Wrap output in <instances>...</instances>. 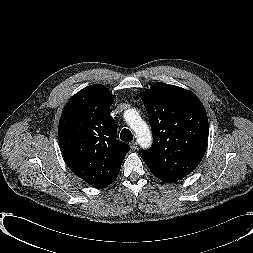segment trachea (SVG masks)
Returning <instances> with one entry per match:
<instances>
[{
  "label": "trachea",
  "mask_w": 253,
  "mask_h": 253,
  "mask_svg": "<svg viewBox=\"0 0 253 253\" xmlns=\"http://www.w3.org/2000/svg\"><path fill=\"white\" fill-rule=\"evenodd\" d=\"M120 139L124 142H130L133 140V135L129 129H123L120 133Z\"/></svg>",
  "instance_id": "obj_1"
}]
</instances>
